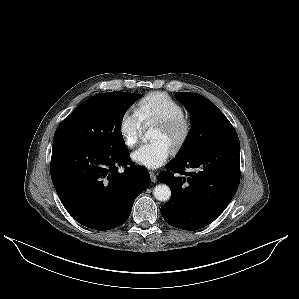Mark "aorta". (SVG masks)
<instances>
[{
  "label": "aorta",
  "instance_id": "762f6f07",
  "mask_svg": "<svg viewBox=\"0 0 299 299\" xmlns=\"http://www.w3.org/2000/svg\"><path fill=\"white\" fill-rule=\"evenodd\" d=\"M150 138L149 132L144 135V140ZM154 196L157 200L161 202L168 201L171 197V190L166 184H159L154 188Z\"/></svg>",
  "mask_w": 299,
  "mask_h": 299
}]
</instances>
